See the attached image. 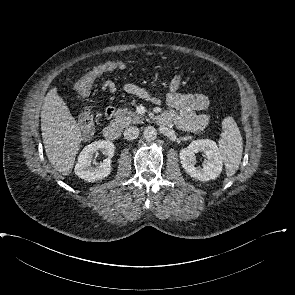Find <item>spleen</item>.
Returning a JSON list of instances; mask_svg holds the SVG:
<instances>
[{
  "mask_svg": "<svg viewBox=\"0 0 295 295\" xmlns=\"http://www.w3.org/2000/svg\"><path fill=\"white\" fill-rule=\"evenodd\" d=\"M223 137L219 140V152L224 161L227 176H233L239 168L243 142L235 120L228 116L222 121Z\"/></svg>",
  "mask_w": 295,
  "mask_h": 295,
  "instance_id": "obj_1",
  "label": "spleen"
}]
</instances>
